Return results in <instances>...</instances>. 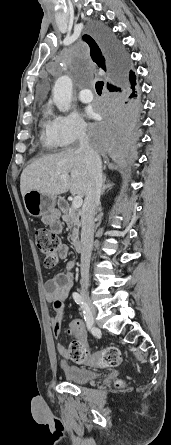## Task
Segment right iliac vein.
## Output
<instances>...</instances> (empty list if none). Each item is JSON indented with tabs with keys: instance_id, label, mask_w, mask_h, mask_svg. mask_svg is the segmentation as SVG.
I'll return each instance as SVG.
<instances>
[{
	"instance_id": "63e3f726",
	"label": "right iliac vein",
	"mask_w": 171,
	"mask_h": 445,
	"mask_svg": "<svg viewBox=\"0 0 171 445\" xmlns=\"http://www.w3.org/2000/svg\"><path fill=\"white\" fill-rule=\"evenodd\" d=\"M83 299L88 307V311H89V315L92 319L93 322H95L96 319V308L94 307V305L91 303L90 298L88 297V295L83 292L82 293Z\"/></svg>"
}]
</instances>
